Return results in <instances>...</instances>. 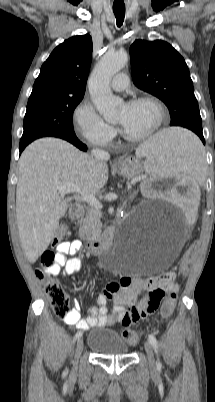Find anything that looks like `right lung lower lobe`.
Masks as SVG:
<instances>
[{
  "label": "right lung lower lobe",
  "instance_id": "obj_1",
  "mask_svg": "<svg viewBox=\"0 0 215 402\" xmlns=\"http://www.w3.org/2000/svg\"><path fill=\"white\" fill-rule=\"evenodd\" d=\"M60 138H62L64 140H67L68 142H70L73 145H75L76 147H78L80 150H83V151L87 150V146L84 145L82 142H80L75 134H71L69 136H63V137H60ZM26 146L27 145H20V153L24 150V148Z\"/></svg>",
  "mask_w": 215,
  "mask_h": 402
}]
</instances>
